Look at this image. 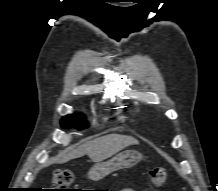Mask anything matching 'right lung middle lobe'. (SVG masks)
I'll return each instance as SVG.
<instances>
[{
    "label": "right lung middle lobe",
    "instance_id": "right-lung-middle-lobe-1",
    "mask_svg": "<svg viewBox=\"0 0 218 191\" xmlns=\"http://www.w3.org/2000/svg\"><path fill=\"white\" fill-rule=\"evenodd\" d=\"M61 126L63 128H78L82 129L87 127L86 120L80 114H70L62 118Z\"/></svg>",
    "mask_w": 218,
    "mask_h": 191
}]
</instances>
